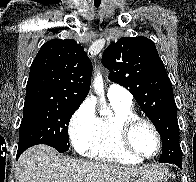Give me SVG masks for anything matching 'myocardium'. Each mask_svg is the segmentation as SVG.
Returning <instances> with one entry per match:
<instances>
[{"mask_svg": "<svg viewBox=\"0 0 196 182\" xmlns=\"http://www.w3.org/2000/svg\"><path fill=\"white\" fill-rule=\"evenodd\" d=\"M140 123L148 125L152 129L157 140V149L154 154L149 156L143 155L138 152L131 142L132 132L134 128ZM118 138L122 149L129 155L140 160L153 159L159 155L162 149V137L157 126L150 119H147L145 117L135 115L120 120V122L118 123Z\"/></svg>", "mask_w": 196, "mask_h": 182, "instance_id": "1", "label": "myocardium"}]
</instances>
